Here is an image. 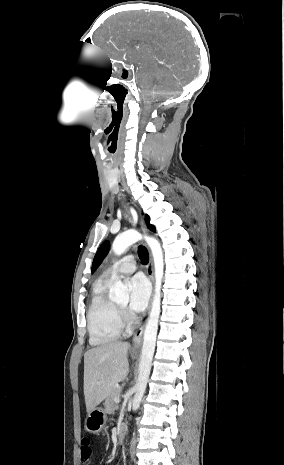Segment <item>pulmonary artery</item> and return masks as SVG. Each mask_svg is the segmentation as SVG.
Returning <instances> with one entry per match:
<instances>
[{
	"mask_svg": "<svg viewBox=\"0 0 284 465\" xmlns=\"http://www.w3.org/2000/svg\"><path fill=\"white\" fill-rule=\"evenodd\" d=\"M136 270L135 258L131 254H125L123 260L110 268H108L103 273V277L106 280H112L115 277H122L125 275H130Z\"/></svg>",
	"mask_w": 284,
	"mask_h": 465,
	"instance_id": "e3ab8cb5",
	"label": "pulmonary artery"
}]
</instances>
